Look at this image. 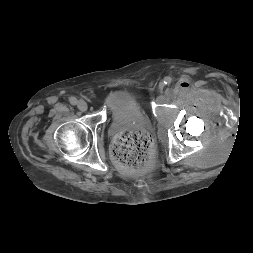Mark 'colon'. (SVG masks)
Here are the masks:
<instances>
[{
    "label": "colon",
    "mask_w": 253,
    "mask_h": 253,
    "mask_svg": "<svg viewBox=\"0 0 253 253\" xmlns=\"http://www.w3.org/2000/svg\"><path fill=\"white\" fill-rule=\"evenodd\" d=\"M151 149V139L145 132L127 130L119 133L113 140L111 155L120 171L136 173L148 166Z\"/></svg>",
    "instance_id": "1"
}]
</instances>
